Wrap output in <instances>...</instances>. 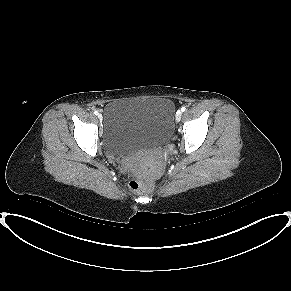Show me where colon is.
<instances>
[{"mask_svg":"<svg viewBox=\"0 0 291 291\" xmlns=\"http://www.w3.org/2000/svg\"><path fill=\"white\" fill-rule=\"evenodd\" d=\"M128 175L130 177V186L134 190L147 191L153 185L151 180L138 177L130 170L128 171Z\"/></svg>","mask_w":291,"mask_h":291,"instance_id":"1","label":"colon"}]
</instances>
